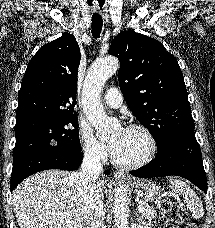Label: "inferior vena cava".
<instances>
[{
	"label": "inferior vena cava",
	"instance_id": "1",
	"mask_svg": "<svg viewBox=\"0 0 215 228\" xmlns=\"http://www.w3.org/2000/svg\"><path fill=\"white\" fill-rule=\"evenodd\" d=\"M100 154L96 148H86L81 164V170L74 174L77 188L84 206L83 222L85 228H104L103 190L99 186V176L102 172Z\"/></svg>",
	"mask_w": 215,
	"mask_h": 228
}]
</instances>
